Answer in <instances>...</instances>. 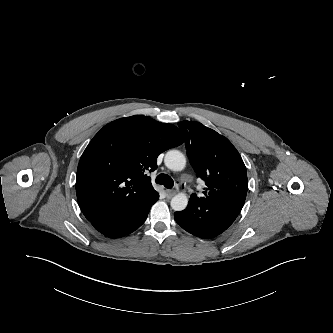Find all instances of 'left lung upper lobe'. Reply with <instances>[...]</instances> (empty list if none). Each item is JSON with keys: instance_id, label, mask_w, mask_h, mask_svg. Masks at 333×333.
Here are the masks:
<instances>
[{"instance_id": "1", "label": "left lung upper lobe", "mask_w": 333, "mask_h": 333, "mask_svg": "<svg viewBox=\"0 0 333 333\" xmlns=\"http://www.w3.org/2000/svg\"><path fill=\"white\" fill-rule=\"evenodd\" d=\"M178 126L185 137L190 162L207 185L205 196L231 188L247 193L246 167L227 138L195 121H182Z\"/></svg>"}]
</instances>
